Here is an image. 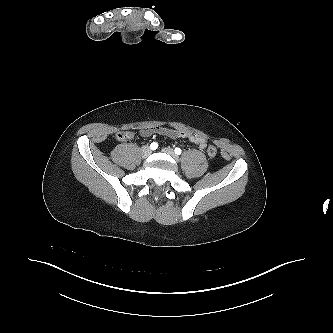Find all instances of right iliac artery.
<instances>
[{
    "label": "right iliac artery",
    "mask_w": 333,
    "mask_h": 333,
    "mask_svg": "<svg viewBox=\"0 0 333 333\" xmlns=\"http://www.w3.org/2000/svg\"><path fill=\"white\" fill-rule=\"evenodd\" d=\"M150 148H151L152 150L157 149V148H158V143H157V142H153V143H151Z\"/></svg>",
    "instance_id": "obj_1"
}]
</instances>
